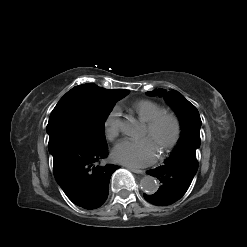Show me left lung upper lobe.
Instances as JSON below:
<instances>
[{"mask_svg":"<svg viewBox=\"0 0 247 247\" xmlns=\"http://www.w3.org/2000/svg\"><path fill=\"white\" fill-rule=\"evenodd\" d=\"M147 94L150 96H163L177 113L182 131L176 149L180 147L197 149L200 146L201 119L196 107L175 90L165 92L163 89H155L147 92Z\"/></svg>","mask_w":247,"mask_h":247,"instance_id":"obj_1","label":"left lung upper lobe"}]
</instances>
